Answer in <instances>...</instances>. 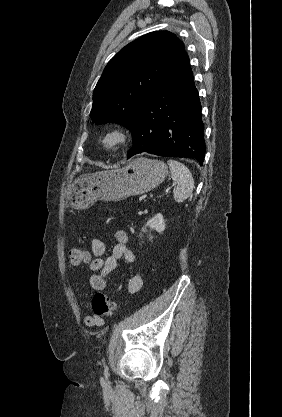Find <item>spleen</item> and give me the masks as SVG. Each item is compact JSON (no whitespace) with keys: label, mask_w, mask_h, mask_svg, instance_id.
Instances as JSON below:
<instances>
[{"label":"spleen","mask_w":282,"mask_h":417,"mask_svg":"<svg viewBox=\"0 0 282 417\" xmlns=\"http://www.w3.org/2000/svg\"><path fill=\"white\" fill-rule=\"evenodd\" d=\"M167 164L170 166L173 180H176L177 182V186H174L173 188V196L176 202H183L185 198L190 196L193 190V176L189 168H187L183 162H178V160H172V158H170V160H167Z\"/></svg>","instance_id":"spleen-1"}]
</instances>
